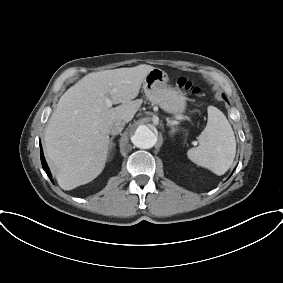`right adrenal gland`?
I'll list each match as a JSON object with an SVG mask.
<instances>
[{"instance_id": "right-adrenal-gland-1", "label": "right adrenal gland", "mask_w": 283, "mask_h": 283, "mask_svg": "<svg viewBox=\"0 0 283 283\" xmlns=\"http://www.w3.org/2000/svg\"><path fill=\"white\" fill-rule=\"evenodd\" d=\"M115 138V136H112L111 138H110V142H109V154L111 153V151L112 150H114V148H115V144L113 143V139Z\"/></svg>"}]
</instances>
